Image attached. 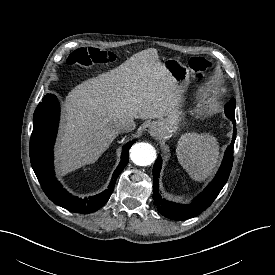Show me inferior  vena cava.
<instances>
[{
    "instance_id": "obj_1",
    "label": "inferior vena cava",
    "mask_w": 275,
    "mask_h": 275,
    "mask_svg": "<svg viewBox=\"0 0 275 275\" xmlns=\"http://www.w3.org/2000/svg\"><path fill=\"white\" fill-rule=\"evenodd\" d=\"M135 126L134 120L128 118L120 119L116 124V128L122 133L133 131Z\"/></svg>"
}]
</instances>
